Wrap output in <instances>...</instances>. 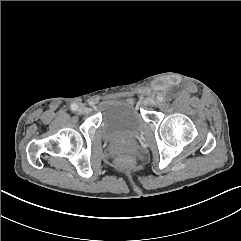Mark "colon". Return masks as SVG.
<instances>
[{"mask_svg": "<svg viewBox=\"0 0 241 241\" xmlns=\"http://www.w3.org/2000/svg\"><path fill=\"white\" fill-rule=\"evenodd\" d=\"M118 163L122 167H129L132 165L133 161L129 157H122L118 160Z\"/></svg>", "mask_w": 241, "mask_h": 241, "instance_id": "5ec220e1", "label": "colon"}]
</instances>
